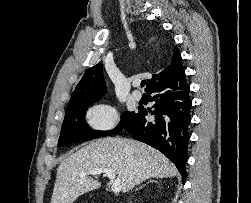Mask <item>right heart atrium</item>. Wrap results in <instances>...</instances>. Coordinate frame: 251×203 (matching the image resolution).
I'll return each mask as SVG.
<instances>
[{"label":"right heart atrium","mask_w":251,"mask_h":203,"mask_svg":"<svg viewBox=\"0 0 251 203\" xmlns=\"http://www.w3.org/2000/svg\"><path fill=\"white\" fill-rule=\"evenodd\" d=\"M87 118L93 129L97 131H107L116 125L118 115L112 105L99 103L88 111Z\"/></svg>","instance_id":"right-heart-atrium-1"}]
</instances>
